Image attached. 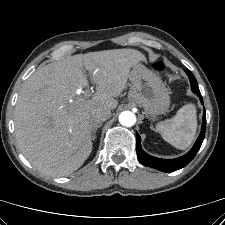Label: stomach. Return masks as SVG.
Masks as SVG:
<instances>
[{
	"mask_svg": "<svg viewBox=\"0 0 225 225\" xmlns=\"http://www.w3.org/2000/svg\"><path fill=\"white\" fill-rule=\"evenodd\" d=\"M128 98L140 104L150 117L165 113L170 105L169 91L161 78L140 62L130 72Z\"/></svg>",
	"mask_w": 225,
	"mask_h": 225,
	"instance_id": "0dacf381",
	"label": "stomach"
}]
</instances>
